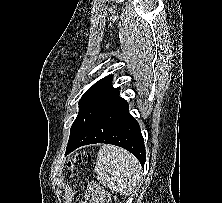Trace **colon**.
<instances>
[{
  "instance_id": "colon-1",
  "label": "colon",
  "mask_w": 222,
  "mask_h": 203,
  "mask_svg": "<svg viewBox=\"0 0 222 203\" xmlns=\"http://www.w3.org/2000/svg\"><path fill=\"white\" fill-rule=\"evenodd\" d=\"M76 160L79 162V163H82V162H89L91 160V155L89 153H81L77 156ZM73 165L70 163L69 164V167H72Z\"/></svg>"
}]
</instances>
